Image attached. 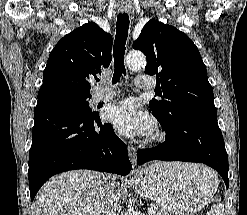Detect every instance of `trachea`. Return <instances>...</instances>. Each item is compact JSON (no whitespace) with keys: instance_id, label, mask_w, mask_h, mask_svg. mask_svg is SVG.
I'll return each mask as SVG.
<instances>
[{"instance_id":"3493384b","label":"trachea","mask_w":247,"mask_h":215,"mask_svg":"<svg viewBox=\"0 0 247 215\" xmlns=\"http://www.w3.org/2000/svg\"><path fill=\"white\" fill-rule=\"evenodd\" d=\"M129 29V16L126 13L119 14L117 16L116 36L113 47L114 56V74L112 83L119 82L122 74L126 75V69L124 65L125 45L128 37Z\"/></svg>"}]
</instances>
